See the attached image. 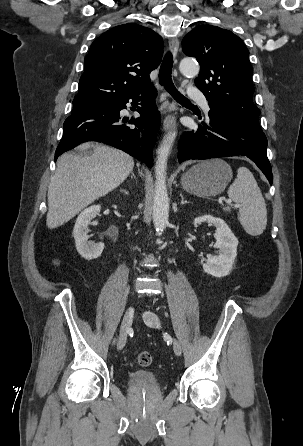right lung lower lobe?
<instances>
[{"label":"right lung lower lobe","instance_id":"1","mask_svg":"<svg viewBox=\"0 0 303 446\" xmlns=\"http://www.w3.org/2000/svg\"><path fill=\"white\" fill-rule=\"evenodd\" d=\"M155 96L156 90L152 88L110 104L72 112L64 122L63 137L56 149L55 161L62 153L82 142L99 141L123 150L151 168L152 148L160 121ZM129 100L142 106L137 107L140 117L136 120L120 117V110L126 108ZM127 122L135 127L125 125Z\"/></svg>","mask_w":303,"mask_h":446}]
</instances>
